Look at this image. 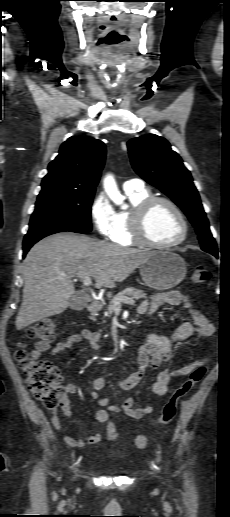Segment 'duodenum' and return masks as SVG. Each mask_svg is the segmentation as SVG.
<instances>
[{
	"label": "duodenum",
	"mask_w": 230,
	"mask_h": 517,
	"mask_svg": "<svg viewBox=\"0 0 230 517\" xmlns=\"http://www.w3.org/2000/svg\"><path fill=\"white\" fill-rule=\"evenodd\" d=\"M101 303L97 300H92L90 301L89 305H88V310L91 314H97L101 311Z\"/></svg>",
	"instance_id": "duodenum-1"
}]
</instances>
